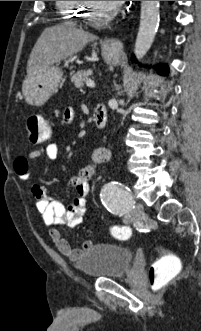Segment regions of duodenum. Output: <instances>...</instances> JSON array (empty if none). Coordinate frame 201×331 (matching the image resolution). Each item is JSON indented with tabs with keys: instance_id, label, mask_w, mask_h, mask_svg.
Returning <instances> with one entry per match:
<instances>
[{
	"instance_id": "obj_1",
	"label": "duodenum",
	"mask_w": 201,
	"mask_h": 331,
	"mask_svg": "<svg viewBox=\"0 0 201 331\" xmlns=\"http://www.w3.org/2000/svg\"><path fill=\"white\" fill-rule=\"evenodd\" d=\"M107 122V112L106 110L102 107L99 106L95 109L94 112V124L97 128H102L105 126Z\"/></svg>"
}]
</instances>
